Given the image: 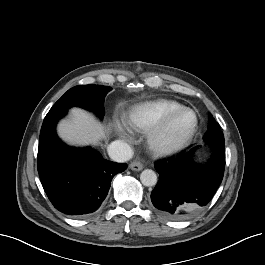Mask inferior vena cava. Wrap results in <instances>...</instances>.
I'll return each instance as SVG.
<instances>
[{
    "mask_svg": "<svg viewBox=\"0 0 265 265\" xmlns=\"http://www.w3.org/2000/svg\"><path fill=\"white\" fill-rule=\"evenodd\" d=\"M109 157L116 162H126L133 157L131 147L122 140L113 141L107 147Z\"/></svg>",
    "mask_w": 265,
    "mask_h": 265,
    "instance_id": "602c4592",
    "label": "inferior vena cava"
}]
</instances>
